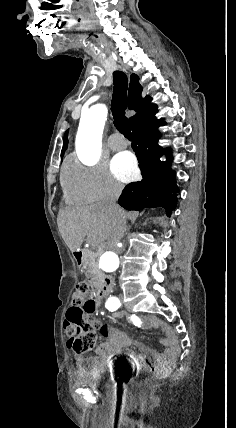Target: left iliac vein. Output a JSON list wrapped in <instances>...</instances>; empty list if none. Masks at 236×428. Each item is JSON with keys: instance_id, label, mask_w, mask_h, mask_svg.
Segmentation results:
<instances>
[{"instance_id": "left-iliac-vein-1", "label": "left iliac vein", "mask_w": 236, "mask_h": 428, "mask_svg": "<svg viewBox=\"0 0 236 428\" xmlns=\"http://www.w3.org/2000/svg\"><path fill=\"white\" fill-rule=\"evenodd\" d=\"M119 296H120V297H119V298H120V300L122 301V300H123V299H122V298H123V297H122V295L120 294Z\"/></svg>"}]
</instances>
